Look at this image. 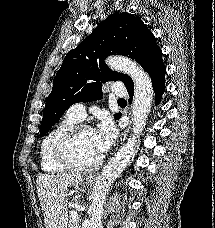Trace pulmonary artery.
Segmentation results:
<instances>
[{"instance_id":"e3ab8cb5","label":"pulmonary artery","mask_w":215,"mask_h":228,"mask_svg":"<svg viewBox=\"0 0 215 228\" xmlns=\"http://www.w3.org/2000/svg\"><path fill=\"white\" fill-rule=\"evenodd\" d=\"M110 88L114 96H128L129 88H126L125 84H117L116 82L110 83ZM67 113L77 120H82L85 116V104L75 103L72 104Z\"/></svg>"}]
</instances>
